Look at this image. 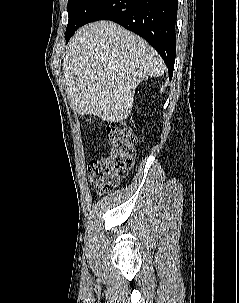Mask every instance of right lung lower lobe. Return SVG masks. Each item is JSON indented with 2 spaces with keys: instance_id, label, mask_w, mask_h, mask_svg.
Instances as JSON below:
<instances>
[{
  "instance_id": "obj_1",
  "label": "right lung lower lobe",
  "mask_w": 239,
  "mask_h": 303,
  "mask_svg": "<svg viewBox=\"0 0 239 303\" xmlns=\"http://www.w3.org/2000/svg\"><path fill=\"white\" fill-rule=\"evenodd\" d=\"M177 0H105L85 20H111L143 37L164 60L172 79Z\"/></svg>"
}]
</instances>
